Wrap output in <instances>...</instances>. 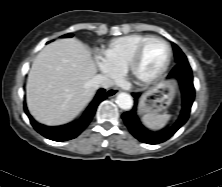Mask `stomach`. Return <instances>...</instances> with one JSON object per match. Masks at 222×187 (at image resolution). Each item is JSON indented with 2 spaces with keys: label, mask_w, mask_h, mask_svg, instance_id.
<instances>
[{
  "label": "stomach",
  "mask_w": 222,
  "mask_h": 187,
  "mask_svg": "<svg viewBox=\"0 0 222 187\" xmlns=\"http://www.w3.org/2000/svg\"><path fill=\"white\" fill-rule=\"evenodd\" d=\"M175 93V83L155 86L140 99V113L159 114L165 112L171 105Z\"/></svg>",
  "instance_id": "1"
}]
</instances>
